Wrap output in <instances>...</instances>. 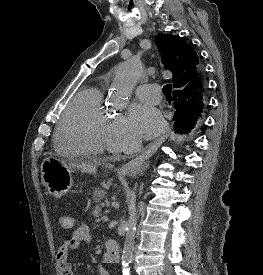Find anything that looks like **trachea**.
I'll use <instances>...</instances> for the list:
<instances>
[{
	"mask_svg": "<svg viewBox=\"0 0 263 275\" xmlns=\"http://www.w3.org/2000/svg\"><path fill=\"white\" fill-rule=\"evenodd\" d=\"M163 93L166 98H171V91H172V86L171 84H167L163 87Z\"/></svg>",
	"mask_w": 263,
	"mask_h": 275,
	"instance_id": "1",
	"label": "trachea"
}]
</instances>
